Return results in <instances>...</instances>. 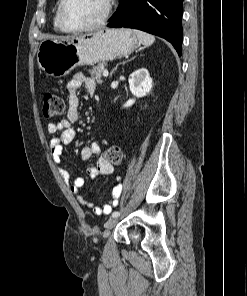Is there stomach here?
<instances>
[{"instance_id": "0dacf381", "label": "stomach", "mask_w": 247, "mask_h": 296, "mask_svg": "<svg viewBox=\"0 0 247 296\" xmlns=\"http://www.w3.org/2000/svg\"><path fill=\"white\" fill-rule=\"evenodd\" d=\"M139 45L131 30L106 29L69 38L45 39L39 44L37 61L45 73L60 78L77 66L128 56Z\"/></svg>"}]
</instances>
